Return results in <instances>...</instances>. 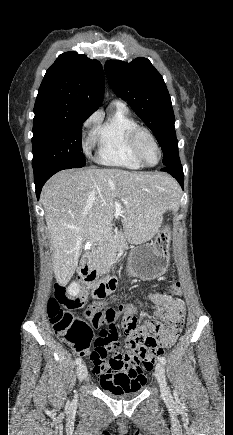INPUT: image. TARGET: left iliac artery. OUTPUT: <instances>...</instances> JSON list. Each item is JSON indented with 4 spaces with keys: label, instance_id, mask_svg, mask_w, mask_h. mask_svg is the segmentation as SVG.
Here are the masks:
<instances>
[{
    "label": "left iliac artery",
    "instance_id": "44dca946",
    "mask_svg": "<svg viewBox=\"0 0 233 435\" xmlns=\"http://www.w3.org/2000/svg\"><path fill=\"white\" fill-rule=\"evenodd\" d=\"M159 360H160V362L163 363V364L166 363V359H165V357H163V356H161V357L159 358Z\"/></svg>",
    "mask_w": 233,
    "mask_h": 435
}]
</instances>
